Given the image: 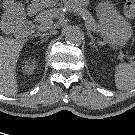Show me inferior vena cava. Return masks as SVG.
Masks as SVG:
<instances>
[{"label": "inferior vena cava", "instance_id": "1", "mask_svg": "<svg viewBox=\"0 0 135 135\" xmlns=\"http://www.w3.org/2000/svg\"><path fill=\"white\" fill-rule=\"evenodd\" d=\"M52 34H56V31H51V32H47V33H42V34H40V36H50V35H52Z\"/></svg>", "mask_w": 135, "mask_h": 135}]
</instances>
